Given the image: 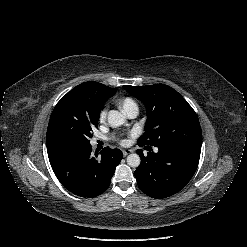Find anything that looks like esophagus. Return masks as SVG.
Returning a JSON list of instances; mask_svg holds the SVG:
<instances>
[{
  "mask_svg": "<svg viewBox=\"0 0 247 247\" xmlns=\"http://www.w3.org/2000/svg\"><path fill=\"white\" fill-rule=\"evenodd\" d=\"M122 152L124 156H127L129 153H131V150H123Z\"/></svg>",
  "mask_w": 247,
  "mask_h": 247,
  "instance_id": "34e87169",
  "label": "esophagus"
}]
</instances>
